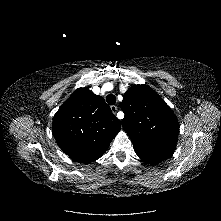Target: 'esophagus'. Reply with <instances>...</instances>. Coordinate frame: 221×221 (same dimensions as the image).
I'll return each instance as SVG.
<instances>
[{"label": "esophagus", "instance_id": "esophagus-1", "mask_svg": "<svg viewBox=\"0 0 221 221\" xmlns=\"http://www.w3.org/2000/svg\"><path fill=\"white\" fill-rule=\"evenodd\" d=\"M111 111L115 114L118 111V107L115 105L111 106Z\"/></svg>", "mask_w": 221, "mask_h": 221}]
</instances>
